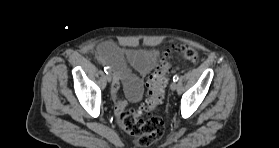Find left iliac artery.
<instances>
[{
    "label": "left iliac artery",
    "instance_id": "1",
    "mask_svg": "<svg viewBox=\"0 0 279 148\" xmlns=\"http://www.w3.org/2000/svg\"><path fill=\"white\" fill-rule=\"evenodd\" d=\"M179 80V76L178 75H175L174 77H173V81L174 82H177Z\"/></svg>",
    "mask_w": 279,
    "mask_h": 148
}]
</instances>
